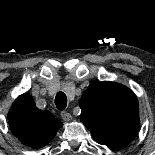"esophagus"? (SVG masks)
<instances>
[{
  "label": "esophagus",
  "instance_id": "obj_1",
  "mask_svg": "<svg viewBox=\"0 0 155 155\" xmlns=\"http://www.w3.org/2000/svg\"><path fill=\"white\" fill-rule=\"evenodd\" d=\"M61 117L64 121L68 122L72 120V115L66 111L61 112Z\"/></svg>",
  "mask_w": 155,
  "mask_h": 155
}]
</instances>
